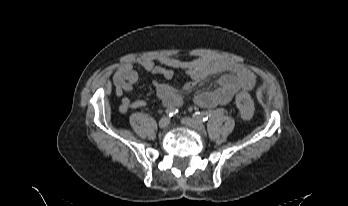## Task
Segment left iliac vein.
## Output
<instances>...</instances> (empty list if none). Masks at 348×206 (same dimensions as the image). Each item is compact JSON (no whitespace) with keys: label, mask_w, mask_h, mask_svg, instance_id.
I'll use <instances>...</instances> for the list:
<instances>
[{"label":"left iliac vein","mask_w":348,"mask_h":206,"mask_svg":"<svg viewBox=\"0 0 348 206\" xmlns=\"http://www.w3.org/2000/svg\"><path fill=\"white\" fill-rule=\"evenodd\" d=\"M181 122L185 126L190 127L194 130H197V131H204L205 130V125L197 119L185 117L181 120Z\"/></svg>","instance_id":"1"}]
</instances>
